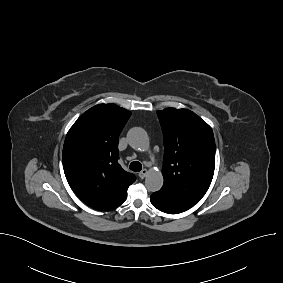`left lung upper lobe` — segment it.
Wrapping results in <instances>:
<instances>
[{"label":"left lung upper lobe","instance_id":"left-lung-upper-lobe-1","mask_svg":"<svg viewBox=\"0 0 283 283\" xmlns=\"http://www.w3.org/2000/svg\"><path fill=\"white\" fill-rule=\"evenodd\" d=\"M157 115L164 136L161 189L189 209L205 195L213 178V131L188 109L166 108Z\"/></svg>","mask_w":283,"mask_h":283}]
</instances>
